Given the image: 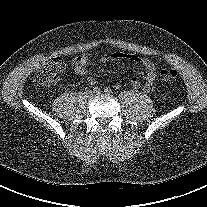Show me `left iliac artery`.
Returning <instances> with one entry per match:
<instances>
[{
	"label": "left iliac artery",
	"mask_w": 207,
	"mask_h": 207,
	"mask_svg": "<svg viewBox=\"0 0 207 207\" xmlns=\"http://www.w3.org/2000/svg\"><path fill=\"white\" fill-rule=\"evenodd\" d=\"M104 92L107 94H110V93H112V90L109 87H107V88H105Z\"/></svg>",
	"instance_id": "1"
}]
</instances>
